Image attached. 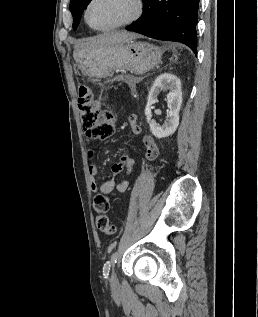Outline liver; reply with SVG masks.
<instances>
[{
  "label": "liver",
  "instance_id": "6515ba94",
  "mask_svg": "<svg viewBox=\"0 0 258 317\" xmlns=\"http://www.w3.org/2000/svg\"><path fill=\"white\" fill-rule=\"evenodd\" d=\"M135 32H127V30H118V32H103L98 36L91 38H81L76 40L74 50H90V48H100V46H108V44H124L133 38H137Z\"/></svg>",
  "mask_w": 258,
  "mask_h": 317
}]
</instances>
